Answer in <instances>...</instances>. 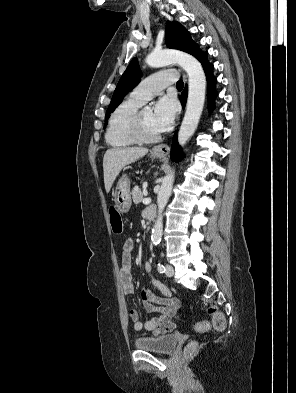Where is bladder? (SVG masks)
<instances>
[{
	"label": "bladder",
	"instance_id": "31cf9c89",
	"mask_svg": "<svg viewBox=\"0 0 296 393\" xmlns=\"http://www.w3.org/2000/svg\"><path fill=\"white\" fill-rule=\"evenodd\" d=\"M177 344L178 336L175 334L147 336L135 341L137 349L163 355L171 354L177 347Z\"/></svg>",
	"mask_w": 296,
	"mask_h": 393
}]
</instances>
